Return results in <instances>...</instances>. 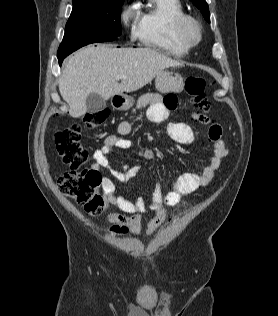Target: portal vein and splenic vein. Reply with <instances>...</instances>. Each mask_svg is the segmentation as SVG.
Returning <instances> with one entry per match:
<instances>
[{"label": "portal vein and splenic vein", "instance_id": "obj_1", "mask_svg": "<svg viewBox=\"0 0 278 316\" xmlns=\"http://www.w3.org/2000/svg\"><path fill=\"white\" fill-rule=\"evenodd\" d=\"M127 78V76H125V75H119V76H117V79H126Z\"/></svg>", "mask_w": 278, "mask_h": 316}]
</instances>
